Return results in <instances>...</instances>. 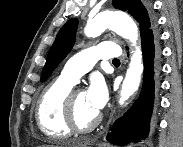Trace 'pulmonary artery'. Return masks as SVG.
Wrapping results in <instances>:
<instances>
[{"instance_id":"obj_1","label":"pulmonary artery","mask_w":183,"mask_h":147,"mask_svg":"<svg viewBox=\"0 0 183 147\" xmlns=\"http://www.w3.org/2000/svg\"><path fill=\"white\" fill-rule=\"evenodd\" d=\"M122 56L119 45L102 42L74 55L61 71V77L76 84L80 77L90 71L99 59H114Z\"/></svg>"}]
</instances>
